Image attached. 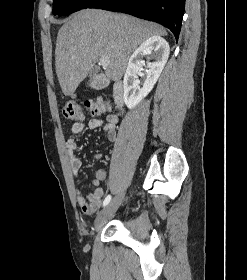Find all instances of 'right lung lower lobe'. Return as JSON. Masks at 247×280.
<instances>
[{"label":"right lung lower lobe","mask_w":247,"mask_h":280,"mask_svg":"<svg viewBox=\"0 0 247 280\" xmlns=\"http://www.w3.org/2000/svg\"><path fill=\"white\" fill-rule=\"evenodd\" d=\"M89 8H101L159 22L169 28L178 40L185 0H98Z\"/></svg>","instance_id":"obj_1"}]
</instances>
